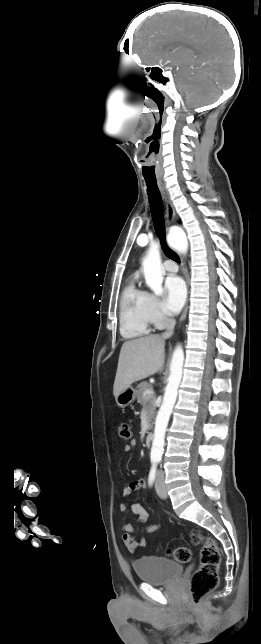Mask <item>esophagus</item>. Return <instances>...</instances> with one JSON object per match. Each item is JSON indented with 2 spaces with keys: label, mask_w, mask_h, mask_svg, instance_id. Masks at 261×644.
<instances>
[{
  "label": "esophagus",
  "mask_w": 261,
  "mask_h": 644,
  "mask_svg": "<svg viewBox=\"0 0 261 644\" xmlns=\"http://www.w3.org/2000/svg\"><path fill=\"white\" fill-rule=\"evenodd\" d=\"M162 196H163V199H164V202H165V207H166L167 223L171 224L175 220L176 212H175V209H174L171 201L169 200V198L166 195V193H165L163 188H162ZM183 272H184V275H185V280H186V283H187V287H189L190 278H189V273H188L187 267L183 268ZM188 308H189V306H188V299H187L185 307H184L183 312H182L181 317H180L181 321H183L186 318Z\"/></svg>",
  "instance_id": "34e87169"
}]
</instances>
